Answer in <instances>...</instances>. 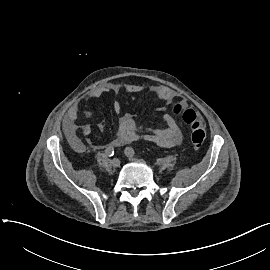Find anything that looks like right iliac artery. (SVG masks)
<instances>
[{
	"label": "right iliac artery",
	"mask_w": 270,
	"mask_h": 270,
	"mask_svg": "<svg viewBox=\"0 0 270 270\" xmlns=\"http://www.w3.org/2000/svg\"><path fill=\"white\" fill-rule=\"evenodd\" d=\"M107 156L111 157L114 155V148L113 146H108L105 150Z\"/></svg>",
	"instance_id": "82829eb1"
}]
</instances>
